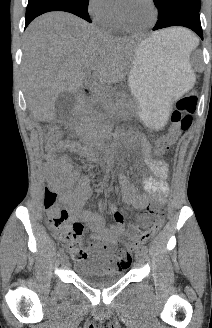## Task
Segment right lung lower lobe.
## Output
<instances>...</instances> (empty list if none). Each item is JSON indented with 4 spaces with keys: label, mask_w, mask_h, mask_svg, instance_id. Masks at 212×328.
<instances>
[{
    "label": "right lung lower lobe",
    "mask_w": 212,
    "mask_h": 328,
    "mask_svg": "<svg viewBox=\"0 0 212 328\" xmlns=\"http://www.w3.org/2000/svg\"><path fill=\"white\" fill-rule=\"evenodd\" d=\"M87 7L88 3L81 0H29L25 28L34 18L49 11L70 12L91 22Z\"/></svg>",
    "instance_id": "98d812e1"
}]
</instances>
